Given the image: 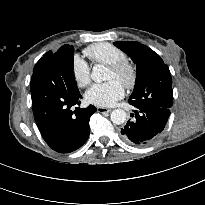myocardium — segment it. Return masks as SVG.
I'll list each match as a JSON object with an SVG mask.
<instances>
[{
	"instance_id": "f54148a6",
	"label": "myocardium",
	"mask_w": 205,
	"mask_h": 205,
	"mask_svg": "<svg viewBox=\"0 0 205 205\" xmlns=\"http://www.w3.org/2000/svg\"><path fill=\"white\" fill-rule=\"evenodd\" d=\"M115 75L121 78L127 88H133L137 81V69L127 60L120 61L108 66Z\"/></svg>"
}]
</instances>
